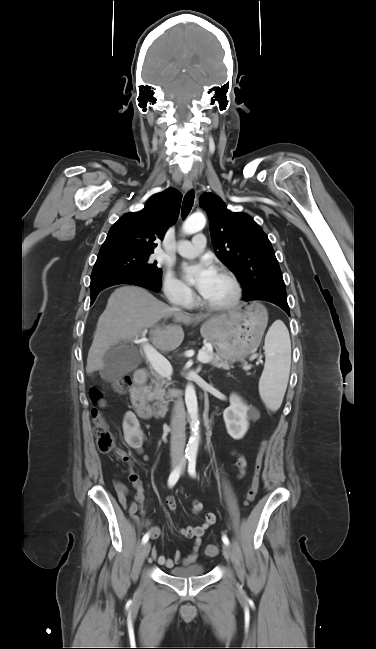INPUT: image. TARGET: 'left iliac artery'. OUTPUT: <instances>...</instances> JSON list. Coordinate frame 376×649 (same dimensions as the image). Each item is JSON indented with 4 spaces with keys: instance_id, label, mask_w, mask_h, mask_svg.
Returning <instances> with one entry per match:
<instances>
[{
    "instance_id": "left-iliac-artery-1",
    "label": "left iliac artery",
    "mask_w": 376,
    "mask_h": 649,
    "mask_svg": "<svg viewBox=\"0 0 376 649\" xmlns=\"http://www.w3.org/2000/svg\"><path fill=\"white\" fill-rule=\"evenodd\" d=\"M189 464H188V472L191 476L195 477L196 476V456L192 455L188 458ZM222 541L224 544L229 545V539L226 535L222 536Z\"/></svg>"
}]
</instances>
